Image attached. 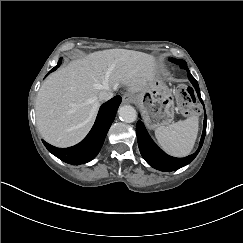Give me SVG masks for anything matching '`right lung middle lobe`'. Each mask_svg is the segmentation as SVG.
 <instances>
[{"label": "right lung middle lobe", "instance_id": "right-lung-middle-lobe-1", "mask_svg": "<svg viewBox=\"0 0 243 243\" xmlns=\"http://www.w3.org/2000/svg\"><path fill=\"white\" fill-rule=\"evenodd\" d=\"M60 64H61V59L59 60L57 66H55L50 72L56 70V69L60 66ZM50 72H49V73H50Z\"/></svg>", "mask_w": 243, "mask_h": 243}]
</instances>
